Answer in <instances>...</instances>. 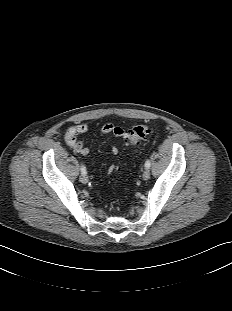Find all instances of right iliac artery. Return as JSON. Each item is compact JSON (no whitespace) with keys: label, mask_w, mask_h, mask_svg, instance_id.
I'll return each instance as SVG.
<instances>
[{"label":"right iliac artery","mask_w":232,"mask_h":311,"mask_svg":"<svg viewBox=\"0 0 232 311\" xmlns=\"http://www.w3.org/2000/svg\"><path fill=\"white\" fill-rule=\"evenodd\" d=\"M81 172H82V174H85L86 175V168H85V166L84 165H82L81 166Z\"/></svg>","instance_id":"obj_1"}]
</instances>
